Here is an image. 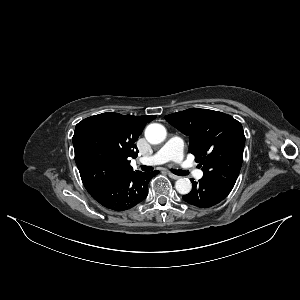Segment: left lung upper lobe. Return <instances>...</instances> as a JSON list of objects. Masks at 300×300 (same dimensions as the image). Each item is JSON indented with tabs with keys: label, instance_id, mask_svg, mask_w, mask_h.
I'll return each mask as SVG.
<instances>
[{
	"label": "left lung upper lobe",
	"instance_id": "1",
	"mask_svg": "<svg viewBox=\"0 0 300 300\" xmlns=\"http://www.w3.org/2000/svg\"><path fill=\"white\" fill-rule=\"evenodd\" d=\"M172 126L189 135V148L200 162L203 178L234 187L245 145L240 122L222 112L191 108L165 116Z\"/></svg>",
	"mask_w": 300,
	"mask_h": 300
}]
</instances>
